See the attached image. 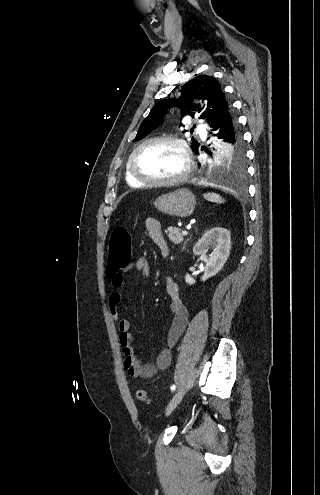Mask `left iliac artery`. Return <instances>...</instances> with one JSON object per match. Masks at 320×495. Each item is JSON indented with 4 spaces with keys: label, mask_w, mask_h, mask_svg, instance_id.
Instances as JSON below:
<instances>
[{
    "label": "left iliac artery",
    "mask_w": 320,
    "mask_h": 495,
    "mask_svg": "<svg viewBox=\"0 0 320 495\" xmlns=\"http://www.w3.org/2000/svg\"><path fill=\"white\" fill-rule=\"evenodd\" d=\"M176 386L175 385H172L171 386V390H175Z\"/></svg>",
    "instance_id": "left-iliac-artery-1"
}]
</instances>
